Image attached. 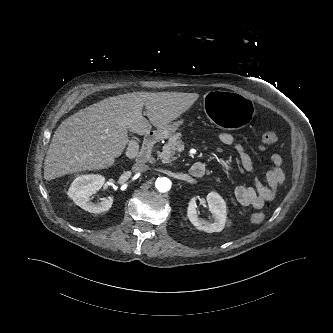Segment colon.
I'll return each instance as SVG.
<instances>
[{
  "mask_svg": "<svg viewBox=\"0 0 333 333\" xmlns=\"http://www.w3.org/2000/svg\"><path fill=\"white\" fill-rule=\"evenodd\" d=\"M277 141V135L273 131H265L261 135V147L266 148L268 146L273 145ZM265 218V214L263 212H257L251 216L252 223L258 224L261 223Z\"/></svg>",
  "mask_w": 333,
  "mask_h": 333,
  "instance_id": "obj_1",
  "label": "colon"
}]
</instances>
